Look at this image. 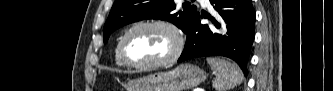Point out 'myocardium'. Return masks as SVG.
Instances as JSON below:
<instances>
[{
  "label": "myocardium",
  "mask_w": 333,
  "mask_h": 91,
  "mask_svg": "<svg viewBox=\"0 0 333 91\" xmlns=\"http://www.w3.org/2000/svg\"><path fill=\"white\" fill-rule=\"evenodd\" d=\"M145 27H161L168 30L173 35L175 40L174 49L167 58L150 63H137L129 58L127 53V42L129 37L136 30ZM183 48H184L183 34L174 23L165 20H150V21H143L136 23L124 33L120 41L119 52L122 60L127 66L135 69L147 70V69L162 68L174 63L182 54Z\"/></svg>",
  "instance_id": "obj_1"
}]
</instances>
